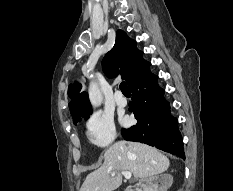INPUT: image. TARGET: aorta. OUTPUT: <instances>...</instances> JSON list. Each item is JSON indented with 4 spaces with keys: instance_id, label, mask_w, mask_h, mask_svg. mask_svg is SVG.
<instances>
[{
    "instance_id": "1",
    "label": "aorta",
    "mask_w": 233,
    "mask_h": 191,
    "mask_svg": "<svg viewBox=\"0 0 233 191\" xmlns=\"http://www.w3.org/2000/svg\"><path fill=\"white\" fill-rule=\"evenodd\" d=\"M89 99L93 107H99L103 101V97L95 83H90Z\"/></svg>"
}]
</instances>
